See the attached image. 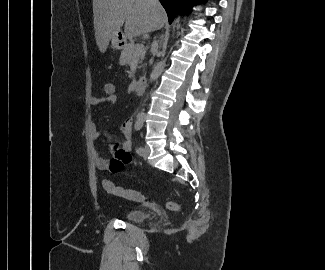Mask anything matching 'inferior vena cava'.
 Here are the masks:
<instances>
[{
	"label": "inferior vena cava",
	"mask_w": 325,
	"mask_h": 270,
	"mask_svg": "<svg viewBox=\"0 0 325 270\" xmlns=\"http://www.w3.org/2000/svg\"><path fill=\"white\" fill-rule=\"evenodd\" d=\"M153 2H158V0H152ZM157 45V42L156 41H154L153 42V46H156Z\"/></svg>",
	"instance_id": "obj_1"
}]
</instances>
